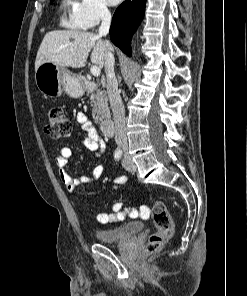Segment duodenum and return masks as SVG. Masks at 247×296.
I'll use <instances>...</instances> for the list:
<instances>
[{"mask_svg":"<svg viewBox=\"0 0 247 296\" xmlns=\"http://www.w3.org/2000/svg\"><path fill=\"white\" fill-rule=\"evenodd\" d=\"M86 88L88 89H94L95 84L93 82H87ZM100 129L101 132L107 136H111L114 131V122L112 118H104L100 121Z\"/></svg>","mask_w":247,"mask_h":296,"instance_id":"duodenum-1","label":"duodenum"}]
</instances>
